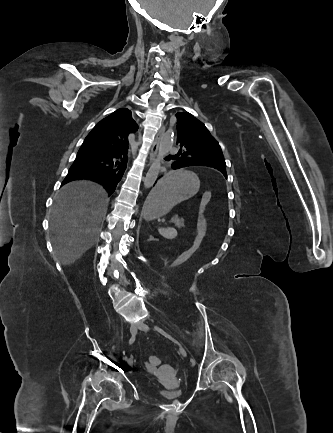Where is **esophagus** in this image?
Listing matches in <instances>:
<instances>
[{
    "label": "esophagus",
    "instance_id": "esophagus-1",
    "mask_svg": "<svg viewBox=\"0 0 333 433\" xmlns=\"http://www.w3.org/2000/svg\"><path fill=\"white\" fill-rule=\"evenodd\" d=\"M162 131H163V129L156 135V138L152 144L150 155H149V165L154 161V159L157 155Z\"/></svg>",
    "mask_w": 333,
    "mask_h": 433
}]
</instances>
